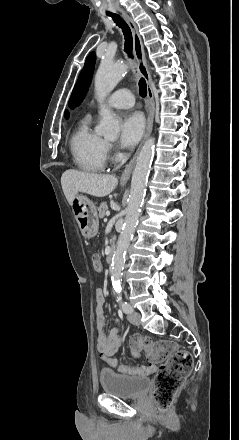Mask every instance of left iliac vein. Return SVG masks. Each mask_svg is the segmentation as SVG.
<instances>
[{
    "label": "left iliac vein",
    "instance_id": "left-iliac-vein-1",
    "mask_svg": "<svg viewBox=\"0 0 239 440\" xmlns=\"http://www.w3.org/2000/svg\"><path fill=\"white\" fill-rule=\"evenodd\" d=\"M140 318H141V315L138 312L133 311L128 314V320L133 325L139 326L140 325Z\"/></svg>",
    "mask_w": 239,
    "mask_h": 440
}]
</instances>
